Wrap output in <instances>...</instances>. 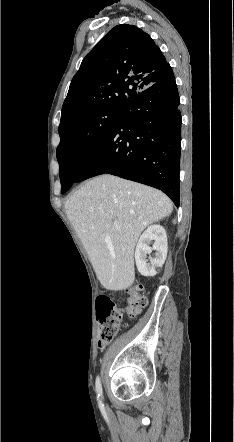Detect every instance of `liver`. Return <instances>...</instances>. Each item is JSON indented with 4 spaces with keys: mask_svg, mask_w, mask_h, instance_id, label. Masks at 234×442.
<instances>
[{
    "mask_svg": "<svg viewBox=\"0 0 234 442\" xmlns=\"http://www.w3.org/2000/svg\"><path fill=\"white\" fill-rule=\"evenodd\" d=\"M65 211L100 283L118 291L135 280L133 254L141 232L169 216L173 204L157 189L106 174L73 193Z\"/></svg>",
    "mask_w": 234,
    "mask_h": 442,
    "instance_id": "6515ba94",
    "label": "liver"
}]
</instances>
